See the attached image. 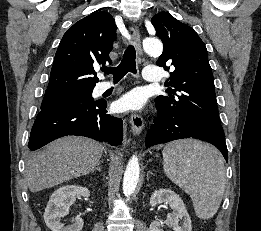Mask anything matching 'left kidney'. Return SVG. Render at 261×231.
<instances>
[{
  "mask_svg": "<svg viewBox=\"0 0 261 231\" xmlns=\"http://www.w3.org/2000/svg\"><path fill=\"white\" fill-rule=\"evenodd\" d=\"M166 203L169 204L173 212L167 215L165 221H153L150 224L149 231H163V224L172 228L174 231H192L190 216L179 195L169 189H160L153 192L150 198L152 207ZM183 220V225L179 226V221Z\"/></svg>",
  "mask_w": 261,
  "mask_h": 231,
  "instance_id": "5707ae66",
  "label": "left kidney"
}]
</instances>
